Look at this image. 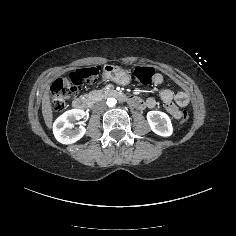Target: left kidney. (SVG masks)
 I'll return each instance as SVG.
<instances>
[{
  "label": "left kidney",
  "instance_id": "5707ae66",
  "mask_svg": "<svg viewBox=\"0 0 236 236\" xmlns=\"http://www.w3.org/2000/svg\"><path fill=\"white\" fill-rule=\"evenodd\" d=\"M150 129L156 135L169 137L173 134V127L169 116L161 111H149L146 115Z\"/></svg>",
  "mask_w": 236,
  "mask_h": 236
}]
</instances>
